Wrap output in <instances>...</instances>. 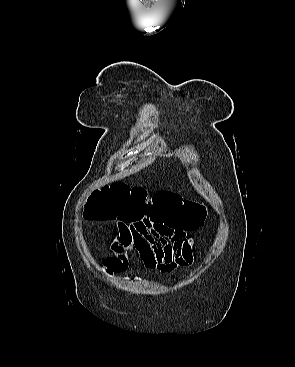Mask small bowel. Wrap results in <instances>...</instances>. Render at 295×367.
<instances>
[{
    "instance_id": "c3829d8e",
    "label": "small bowel",
    "mask_w": 295,
    "mask_h": 367,
    "mask_svg": "<svg viewBox=\"0 0 295 367\" xmlns=\"http://www.w3.org/2000/svg\"><path fill=\"white\" fill-rule=\"evenodd\" d=\"M188 233L164 220L118 221L111 244L112 255L103 260L104 269L109 274L124 273L135 250L149 270L170 274L189 267L194 262L195 250L194 240Z\"/></svg>"
}]
</instances>
